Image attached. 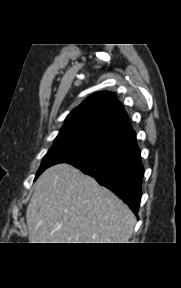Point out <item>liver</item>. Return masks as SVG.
Masks as SVG:
<instances>
[{
  "instance_id": "liver-1",
  "label": "liver",
  "mask_w": 181,
  "mask_h": 288,
  "mask_svg": "<svg viewBox=\"0 0 181 288\" xmlns=\"http://www.w3.org/2000/svg\"><path fill=\"white\" fill-rule=\"evenodd\" d=\"M26 222L30 243H126L136 217L94 178L62 163L38 178Z\"/></svg>"
}]
</instances>
